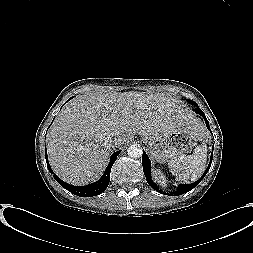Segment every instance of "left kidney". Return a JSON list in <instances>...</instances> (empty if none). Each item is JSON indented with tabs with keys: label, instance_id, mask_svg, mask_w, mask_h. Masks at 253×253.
Wrapping results in <instances>:
<instances>
[{
	"label": "left kidney",
	"instance_id": "left-kidney-1",
	"mask_svg": "<svg viewBox=\"0 0 253 253\" xmlns=\"http://www.w3.org/2000/svg\"><path fill=\"white\" fill-rule=\"evenodd\" d=\"M156 179L162 186L166 185V178L160 171L156 172Z\"/></svg>",
	"mask_w": 253,
	"mask_h": 253
}]
</instances>
